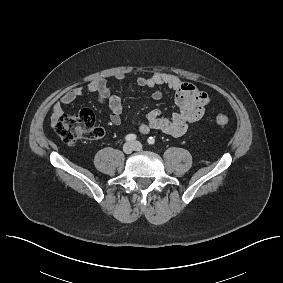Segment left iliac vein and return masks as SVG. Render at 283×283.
Here are the masks:
<instances>
[{
  "mask_svg": "<svg viewBox=\"0 0 283 283\" xmlns=\"http://www.w3.org/2000/svg\"><path fill=\"white\" fill-rule=\"evenodd\" d=\"M132 144L134 145V150L136 151H141L142 150V144L139 141H134L132 142Z\"/></svg>",
  "mask_w": 283,
  "mask_h": 283,
  "instance_id": "1",
  "label": "left iliac vein"
}]
</instances>
